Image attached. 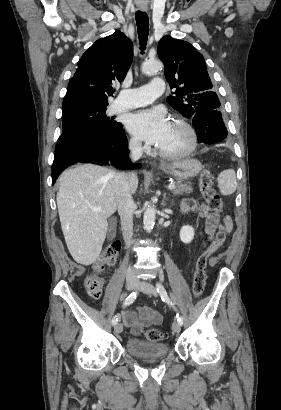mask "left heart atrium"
<instances>
[{
    "label": "left heart atrium",
    "mask_w": 281,
    "mask_h": 410,
    "mask_svg": "<svg viewBox=\"0 0 281 410\" xmlns=\"http://www.w3.org/2000/svg\"><path fill=\"white\" fill-rule=\"evenodd\" d=\"M170 122L163 108L155 107L131 114L127 120L128 130L137 137L159 145L164 139Z\"/></svg>",
    "instance_id": "1"
}]
</instances>
